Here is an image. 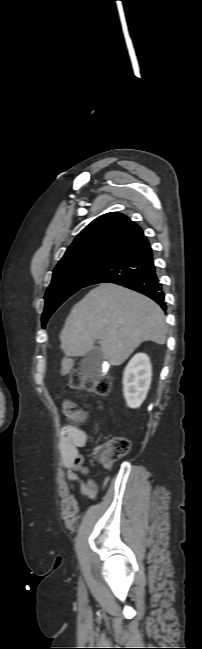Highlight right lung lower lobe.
<instances>
[{
    "instance_id": "obj_1",
    "label": "right lung lower lobe",
    "mask_w": 202,
    "mask_h": 649,
    "mask_svg": "<svg viewBox=\"0 0 202 649\" xmlns=\"http://www.w3.org/2000/svg\"><path fill=\"white\" fill-rule=\"evenodd\" d=\"M107 282L138 291L166 310L165 294L156 273L152 249L147 238L115 254L91 276L83 287Z\"/></svg>"
}]
</instances>
